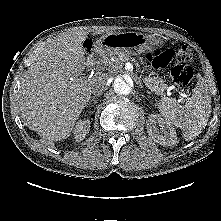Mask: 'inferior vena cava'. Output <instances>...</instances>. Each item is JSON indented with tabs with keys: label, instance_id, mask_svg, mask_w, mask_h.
Returning <instances> with one entry per match:
<instances>
[{
	"label": "inferior vena cava",
	"instance_id": "obj_1",
	"mask_svg": "<svg viewBox=\"0 0 221 221\" xmlns=\"http://www.w3.org/2000/svg\"><path fill=\"white\" fill-rule=\"evenodd\" d=\"M107 76L102 77L92 88V94L100 96L106 90Z\"/></svg>",
	"mask_w": 221,
	"mask_h": 221
}]
</instances>
